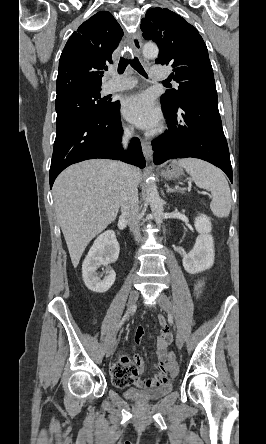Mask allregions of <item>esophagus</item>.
I'll return each mask as SVG.
<instances>
[{"mask_svg":"<svg viewBox=\"0 0 266 444\" xmlns=\"http://www.w3.org/2000/svg\"><path fill=\"white\" fill-rule=\"evenodd\" d=\"M132 47L136 53H140L142 48V39L140 34H135L132 37ZM142 151L146 161H151L153 156V151L151 147L150 141L142 140L141 141Z\"/></svg>","mask_w":266,"mask_h":444,"instance_id":"obj_1","label":"esophagus"}]
</instances>
